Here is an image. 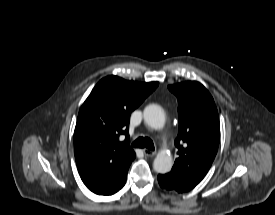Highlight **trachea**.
<instances>
[{
    "label": "trachea",
    "instance_id": "3493384b",
    "mask_svg": "<svg viewBox=\"0 0 275 215\" xmlns=\"http://www.w3.org/2000/svg\"><path fill=\"white\" fill-rule=\"evenodd\" d=\"M133 147L136 148H147L151 151L154 150V144L153 141L150 138L147 137H139L137 138L133 143H132Z\"/></svg>",
    "mask_w": 275,
    "mask_h": 215
}]
</instances>
